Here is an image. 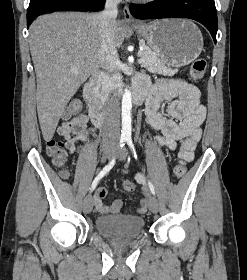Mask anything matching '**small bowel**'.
Masks as SVG:
<instances>
[{
	"instance_id": "1",
	"label": "small bowel",
	"mask_w": 247,
	"mask_h": 280,
	"mask_svg": "<svg viewBox=\"0 0 247 280\" xmlns=\"http://www.w3.org/2000/svg\"><path fill=\"white\" fill-rule=\"evenodd\" d=\"M136 87L142 88L148 93L145 108L146 121L149 126L160 132L154 138L155 142L170 150L179 147V158L190 162L201 138V126L206 116V109L200 103L199 89L185 81L166 78L151 84L145 76L137 78ZM164 101L169 102V117L159 112L160 104ZM87 122L88 119L85 115L74 116L57 127L56 134L61 137L69 153L75 152L78 140L85 141L95 134V130L89 127ZM62 175L68 177L67 172H63ZM135 180L142 185L141 193L143 195L137 212L145 213L148 202L145 178L142 174H136ZM106 196L105 188L101 187L97 190L93 199L95 209L101 214H118L122 207V200L117 199L111 205H106L104 203Z\"/></svg>"
}]
</instances>
